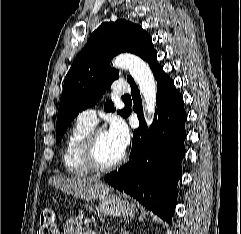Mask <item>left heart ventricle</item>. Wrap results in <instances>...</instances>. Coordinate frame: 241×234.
<instances>
[{
  "mask_svg": "<svg viewBox=\"0 0 241 234\" xmlns=\"http://www.w3.org/2000/svg\"><path fill=\"white\" fill-rule=\"evenodd\" d=\"M123 152L114 144L106 131L97 136V157L102 164L108 165L118 160Z\"/></svg>",
  "mask_w": 241,
  "mask_h": 234,
  "instance_id": "1",
  "label": "left heart ventricle"
}]
</instances>
